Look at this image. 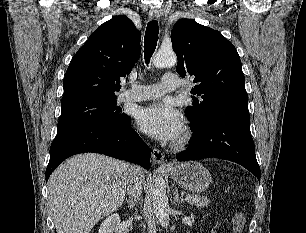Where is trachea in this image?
<instances>
[{"label":"trachea","mask_w":306,"mask_h":233,"mask_svg":"<svg viewBox=\"0 0 306 233\" xmlns=\"http://www.w3.org/2000/svg\"><path fill=\"white\" fill-rule=\"evenodd\" d=\"M159 34V26L156 20L148 23L144 37V56L146 64H149L150 58L156 49Z\"/></svg>","instance_id":"trachea-1"}]
</instances>
